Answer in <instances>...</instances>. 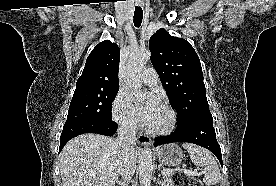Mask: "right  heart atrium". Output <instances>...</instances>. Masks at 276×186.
Wrapping results in <instances>:
<instances>
[{
  "label": "right heart atrium",
  "instance_id": "obj_1",
  "mask_svg": "<svg viewBox=\"0 0 276 186\" xmlns=\"http://www.w3.org/2000/svg\"><path fill=\"white\" fill-rule=\"evenodd\" d=\"M112 117L123 129L133 131L136 129V122L129 109V100L125 92L119 91L112 103Z\"/></svg>",
  "mask_w": 276,
  "mask_h": 186
}]
</instances>
